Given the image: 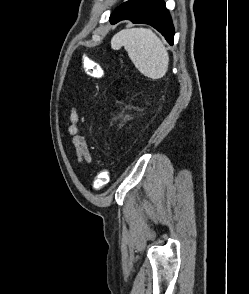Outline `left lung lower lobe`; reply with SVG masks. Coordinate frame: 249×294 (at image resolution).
Returning <instances> with one entry per match:
<instances>
[{
  "instance_id": "0a47b994",
  "label": "left lung lower lobe",
  "mask_w": 249,
  "mask_h": 294,
  "mask_svg": "<svg viewBox=\"0 0 249 294\" xmlns=\"http://www.w3.org/2000/svg\"><path fill=\"white\" fill-rule=\"evenodd\" d=\"M123 19L153 26L173 45L174 28L163 0L126 1L111 14L110 22L115 24Z\"/></svg>"
}]
</instances>
